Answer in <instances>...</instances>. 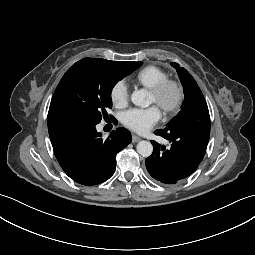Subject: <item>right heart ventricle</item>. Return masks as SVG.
Returning a JSON list of instances; mask_svg holds the SVG:
<instances>
[{"instance_id":"right-heart-ventricle-1","label":"right heart ventricle","mask_w":255,"mask_h":255,"mask_svg":"<svg viewBox=\"0 0 255 255\" xmlns=\"http://www.w3.org/2000/svg\"><path fill=\"white\" fill-rule=\"evenodd\" d=\"M167 79H169L168 73L153 65L142 68L135 76L136 82L148 89L155 87Z\"/></svg>"}]
</instances>
